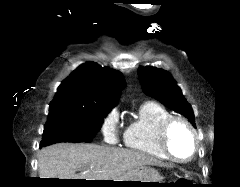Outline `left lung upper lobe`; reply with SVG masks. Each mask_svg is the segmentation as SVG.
Listing matches in <instances>:
<instances>
[{"label": "left lung upper lobe", "instance_id": "left-lung-upper-lobe-1", "mask_svg": "<svg viewBox=\"0 0 240 187\" xmlns=\"http://www.w3.org/2000/svg\"><path fill=\"white\" fill-rule=\"evenodd\" d=\"M138 77L145 94L156 98L168 108L184 115L195 126L192 107L169 73L155 67H139Z\"/></svg>", "mask_w": 240, "mask_h": 187}]
</instances>
